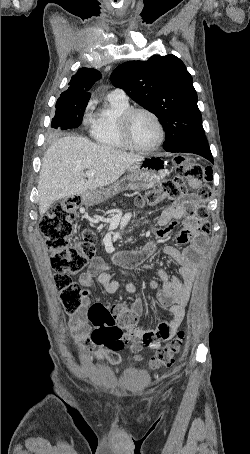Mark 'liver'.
Listing matches in <instances>:
<instances>
[{
	"instance_id": "1",
	"label": "liver",
	"mask_w": 250,
	"mask_h": 454,
	"mask_svg": "<svg viewBox=\"0 0 250 454\" xmlns=\"http://www.w3.org/2000/svg\"><path fill=\"white\" fill-rule=\"evenodd\" d=\"M144 157L90 140L68 136L58 139L45 152L39 174V213L62 198L79 195L116 182ZM85 170H95L86 180Z\"/></svg>"
}]
</instances>
